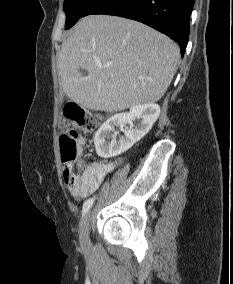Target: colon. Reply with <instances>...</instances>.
<instances>
[{
  "label": "colon",
  "instance_id": "obj_1",
  "mask_svg": "<svg viewBox=\"0 0 233 284\" xmlns=\"http://www.w3.org/2000/svg\"><path fill=\"white\" fill-rule=\"evenodd\" d=\"M65 116L84 132L94 131L99 123V115L88 111L75 102H69L64 108ZM81 137L75 130H70L60 137L63 178L69 191L75 195H87L94 189L91 175L81 170L76 163Z\"/></svg>",
  "mask_w": 233,
  "mask_h": 284
}]
</instances>
